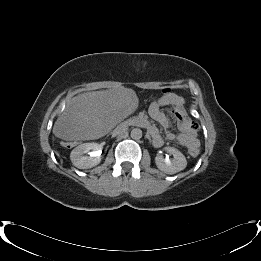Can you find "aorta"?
Masks as SVG:
<instances>
[{
    "mask_svg": "<svg viewBox=\"0 0 261 261\" xmlns=\"http://www.w3.org/2000/svg\"><path fill=\"white\" fill-rule=\"evenodd\" d=\"M130 136L134 140H139L142 138V130L140 128H134L131 130Z\"/></svg>",
    "mask_w": 261,
    "mask_h": 261,
    "instance_id": "762f6f07",
    "label": "aorta"
}]
</instances>
